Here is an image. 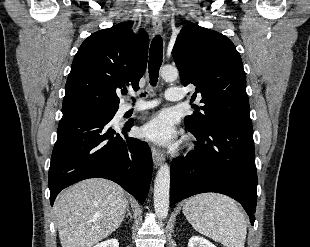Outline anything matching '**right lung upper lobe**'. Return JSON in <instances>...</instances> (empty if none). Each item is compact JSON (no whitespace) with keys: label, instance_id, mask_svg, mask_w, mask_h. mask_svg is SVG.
<instances>
[{"label":"right lung upper lobe","instance_id":"cb5924a9","mask_svg":"<svg viewBox=\"0 0 310 247\" xmlns=\"http://www.w3.org/2000/svg\"><path fill=\"white\" fill-rule=\"evenodd\" d=\"M120 23L90 35L74 57L65 85L62 111L76 108L118 109L116 90L139 89L147 65L148 36Z\"/></svg>","mask_w":310,"mask_h":247}]
</instances>
